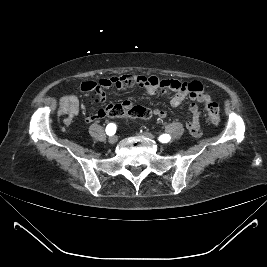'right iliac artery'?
Masks as SVG:
<instances>
[{
	"mask_svg": "<svg viewBox=\"0 0 267 267\" xmlns=\"http://www.w3.org/2000/svg\"><path fill=\"white\" fill-rule=\"evenodd\" d=\"M115 132H116V125L113 123L108 124L106 127V133L109 136H111V135L115 134Z\"/></svg>",
	"mask_w": 267,
	"mask_h": 267,
	"instance_id": "obj_1",
	"label": "right iliac artery"
}]
</instances>
